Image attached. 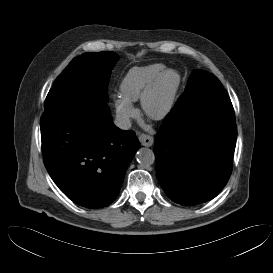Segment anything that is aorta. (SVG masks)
<instances>
[{
  "instance_id": "obj_1",
  "label": "aorta",
  "mask_w": 273,
  "mask_h": 273,
  "mask_svg": "<svg viewBox=\"0 0 273 273\" xmlns=\"http://www.w3.org/2000/svg\"><path fill=\"white\" fill-rule=\"evenodd\" d=\"M137 162L144 166H151L155 162L154 152L149 148H140L136 153Z\"/></svg>"
}]
</instances>
